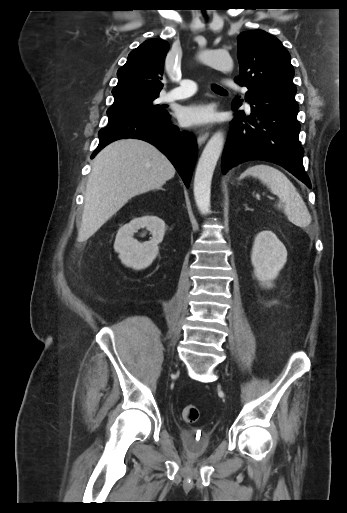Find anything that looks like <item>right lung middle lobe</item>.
<instances>
[{"mask_svg": "<svg viewBox=\"0 0 347 513\" xmlns=\"http://www.w3.org/2000/svg\"><path fill=\"white\" fill-rule=\"evenodd\" d=\"M157 97L146 96L115 103L107 110L109 121L129 116L158 119L166 113V110L163 106L154 103Z\"/></svg>", "mask_w": 347, "mask_h": 513, "instance_id": "right-lung-middle-lobe-1", "label": "right lung middle lobe"}]
</instances>
